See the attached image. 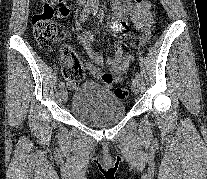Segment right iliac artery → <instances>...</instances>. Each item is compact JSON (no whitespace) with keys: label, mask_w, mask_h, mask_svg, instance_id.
I'll list each match as a JSON object with an SVG mask.
<instances>
[{"label":"right iliac artery","mask_w":207,"mask_h":179,"mask_svg":"<svg viewBox=\"0 0 207 179\" xmlns=\"http://www.w3.org/2000/svg\"><path fill=\"white\" fill-rule=\"evenodd\" d=\"M91 10H92L91 6L87 5V6L84 7V9L82 10V13L80 14V22H84L87 19V17L89 16ZM60 87L64 88L65 87V83L61 82L60 83Z\"/></svg>","instance_id":"right-iliac-artery-1"}]
</instances>
